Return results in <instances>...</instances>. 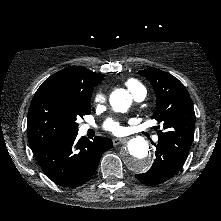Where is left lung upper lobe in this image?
Returning a JSON list of instances; mask_svg holds the SVG:
<instances>
[{
    "label": "left lung upper lobe",
    "instance_id": "obj_1",
    "mask_svg": "<svg viewBox=\"0 0 221 221\" xmlns=\"http://www.w3.org/2000/svg\"><path fill=\"white\" fill-rule=\"evenodd\" d=\"M138 73L151 82L156 92L157 107L152 118L161 123L164 129L163 132L157 130L158 143L185 162L195 126V112L187 89L176 77L156 68Z\"/></svg>",
    "mask_w": 221,
    "mask_h": 221
}]
</instances>
